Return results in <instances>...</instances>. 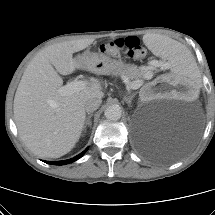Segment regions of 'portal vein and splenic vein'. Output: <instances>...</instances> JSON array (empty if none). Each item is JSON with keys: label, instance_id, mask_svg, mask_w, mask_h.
Masks as SVG:
<instances>
[{"label": "portal vein and splenic vein", "instance_id": "obj_1", "mask_svg": "<svg viewBox=\"0 0 215 215\" xmlns=\"http://www.w3.org/2000/svg\"><path fill=\"white\" fill-rule=\"evenodd\" d=\"M127 80V79H126ZM142 85V81H136L133 83H129L127 81V89H138L140 86ZM87 87V83L85 81L82 80H73L69 83H67L64 86H61L58 88V93L60 95L66 96V95H70L76 92H79L83 89H85Z\"/></svg>", "mask_w": 215, "mask_h": 215}]
</instances>
